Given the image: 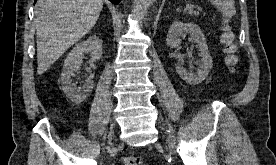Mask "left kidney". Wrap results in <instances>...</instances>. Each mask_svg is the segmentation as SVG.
<instances>
[{
  "instance_id": "5707ae66",
  "label": "left kidney",
  "mask_w": 276,
  "mask_h": 165,
  "mask_svg": "<svg viewBox=\"0 0 276 165\" xmlns=\"http://www.w3.org/2000/svg\"><path fill=\"white\" fill-rule=\"evenodd\" d=\"M189 34L192 40L197 44L199 56L201 57L200 66L196 73L187 70L181 63L176 65V71L180 77L190 85H196L206 79L209 70L213 66L212 57L208 51L206 38L200 27L192 22L182 23L174 21L167 34V45L171 48H177L180 45V37Z\"/></svg>"
}]
</instances>
